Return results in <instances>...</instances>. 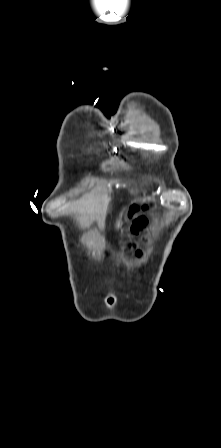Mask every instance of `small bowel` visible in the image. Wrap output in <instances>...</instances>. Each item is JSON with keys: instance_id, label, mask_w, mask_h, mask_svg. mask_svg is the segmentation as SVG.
Segmentation results:
<instances>
[{"instance_id": "c3829d8e", "label": "small bowel", "mask_w": 221, "mask_h": 448, "mask_svg": "<svg viewBox=\"0 0 221 448\" xmlns=\"http://www.w3.org/2000/svg\"><path fill=\"white\" fill-rule=\"evenodd\" d=\"M141 225H143V221L142 220H137L134 224V231H136V229L138 227H140Z\"/></svg>"}]
</instances>
